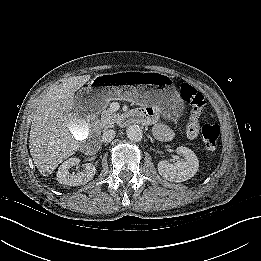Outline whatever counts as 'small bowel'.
<instances>
[{
  "instance_id": "1",
  "label": "small bowel",
  "mask_w": 261,
  "mask_h": 261,
  "mask_svg": "<svg viewBox=\"0 0 261 261\" xmlns=\"http://www.w3.org/2000/svg\"><path fill=\"white\" fill-rule=\"evenodd\" d=\"M134 121L141 123H150L154 120L156 115V110L153 107H144L136 109L132 112ZM154 135L162 141H169L173 138V131L166 125L161 123H156L153 126Z\"/></svg>"
}]
</instances>
